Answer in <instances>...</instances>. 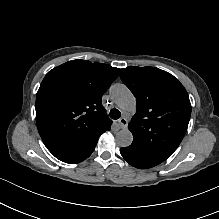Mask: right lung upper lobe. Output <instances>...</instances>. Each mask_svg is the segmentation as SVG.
<instances>
[{"instance_id":"right-lung-upper-lobe-1","label":"right lung upper lobe","mask_w":219,"mask_h":219,"mask_svg":"<svg viewBox=\"0 0 219 219\" xmlns=\"http://www.w3.org/2000/svg\"><path fill=\"white\" fill-rule=\"evenodd\" d=\"M118 74L119 68L87 60L66 62L46 74L36 95V123L50 152L88 148L110 130L101 100Z\"/></svg>"}]
</instances>
